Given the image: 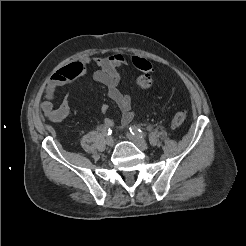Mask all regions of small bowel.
I'll return each instance as SVG.
<instances>
[{
  "mask_svg": "<svg viewBox=\"0 0 246 246\" xmlns=\"http://www.w3.org/2000/svg\"><path fill=\"white\" fill-rule=\"evenodd\" d=\"M88 65H95L98 69L93 77L96 81L107 87L108 96L121 110V122L128 124L135 116L132 106V99L119 89L120 74L118 69L127 65V60L121 53H115L107 57L83 58L80 61L71 63L57 70L46 86L44 100L40 107L44 115L53 122H61L69 115V102L65 98L58 106L54 105L56 91L61 86H72L74 81L85 74ZM101 111L106 114L108 105L103 103ZM104 125L113 126L114 122L104 117Z\"/></svg>",
  "mask_w": 246,
  "mask_h": 246,
  "instance_id": "small-bowel-1",
  "label": "small bowel"
}]
</instances>
